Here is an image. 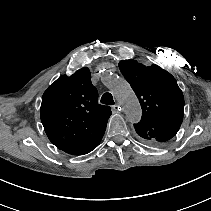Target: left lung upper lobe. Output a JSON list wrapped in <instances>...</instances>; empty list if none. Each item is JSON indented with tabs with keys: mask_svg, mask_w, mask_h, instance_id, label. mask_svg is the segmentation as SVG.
Segmentation results:
<instances>
[{
	"mask_svg": "<svg viewBox=\"0 0 211 211\" xmlns=\"http://www.w3.org/2000/svg\"><path fill=\"white\" fill-rule=\"evenodd\" d=\"M119 68L142 107V118L134 124L137 134L145 144L161 146L176 135L183 121L184 97L177 81L155 64L146 67L124 60Z\"/></svg>",
	"mask_w": 211,
	"mask_h": 211,
	"instance_id": "obj_1",
	"label": "left lung upper lobe"
}]
</instances>
